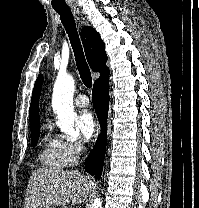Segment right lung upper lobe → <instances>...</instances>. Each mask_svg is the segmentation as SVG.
Returning <instances> with one entry per match:
<instances>
[{
    "instance_id": "cb5924a9",
    "label": "right lung upper lobe",
    "mask_w": 199,
    "mask_h": 208,
    "mask_svg": "<svg viewBox=\"0 0 199 208\" xmlns=\"http://www.w3.org/2000/svg\"><path fill=\"white\" fill-rule=\"evenodd\" d=\"M81 40L90 67L93 71L101 73L99 79H97L95 83L109 78V69L106 66L107 55L105 52V45L104 42L101 40L99 33L94 28L85 26L81 30ZM42 80V75H39L35 82L32 93L29 109L31 130L40 126L38 105L42 87Z\"/></svg>"
}]
</instances>
